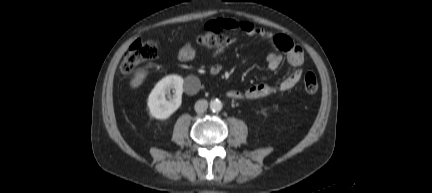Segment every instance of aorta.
<instances>
[{
	"label": "aorta",
	"mask_w": 432,
	"mask_h": 193,
	"mask_svg": "<svg viewBox=\"0 0 432 193\" xmlns=\"http://www.w3.org/2000/svg\"><path fill=\"white\" fill-rule=\"evenodd\" d=\"M222 107V102L219 99H214L210 102V109L212 112H219L221 111Z\"/></svg>",
	"instance_id": "1"
}]
</instances>
